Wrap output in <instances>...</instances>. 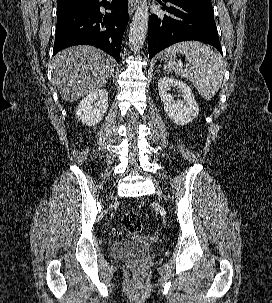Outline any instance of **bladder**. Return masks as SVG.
<instances>
[{
  "label": "bladder",
  "instance_id": "31cf9c89",
  "mask_svg": "<svg viewBox=\"0 0 272 303\" xmlns=\"http://www.w3.org/2000/svg\"><path fill=\"white\" fill-rule=\"evenodd\" d=\"M152 248V243L147 236L139 234L127 235L124 239L112 244L111 253L116 258L126 257Z\"/></svg>",
  "mask_w": 272,
  "mask_h": 303
}]
</instances>
